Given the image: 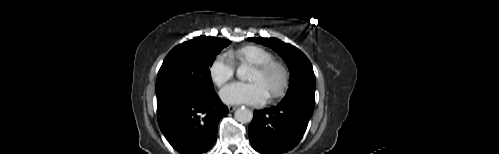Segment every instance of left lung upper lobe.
<instances>
[{
    "label": "left lung upper lobe",
    "mask_w": 499,
    "mask_h": 154,
    "mask_svg": "<svg viewBox=\"0 0 499 154\" xmlns=\"http://www.w3.org/2000/svg\"><path fill=\"white\" fill-rule=\"evenodd\" d=\"M248 40L264 44L278 52L290 70V85L287 93L297 90L315 91V75L309 59L296 47L276 38H248Z\"/></svg>",
    "instance_id": "obj_1"
}]
</instances>
